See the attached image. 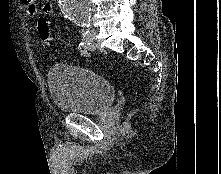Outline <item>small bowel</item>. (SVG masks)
Segmentation results:
<instances>
[{"label":"small bowel","instance_id":"obj_1","mask_svg":"<svg viewBox=\"0 0 221 174\" xmlns=\"http://www.w3.org/2000/svg\"><path fill=\"white\" fill-rule=\"evenodd\" d=\"M24 3L28 15L36 16L39 14V9L35 0H24ZM42 9L45 15L54 13V5L50 0H44Z\"/></svg>","mask_w":221,"mask_h":174}]
</instances>
